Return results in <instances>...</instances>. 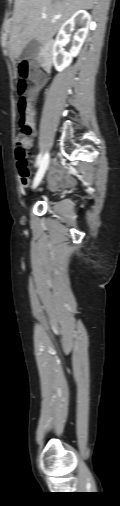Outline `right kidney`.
Instances as JSON below:
<instances>
[{
  "mask_svg": "<svg viewBox=\"0 0 120 506\" xmlns=\"http://www.w3.org/2000/svg\"><path fill=\"white\" fill-rule=\"evenodd\" d=\"M76 24L80 26V29L74 35L72 47L70 52L67 53L63 49L64 41L69 39L70 33L73 31ZM90 24L91 16L89 13L85 10H78L61 26L53 47V64L57 71H63L71 64L73 57L79 54L87 37Z\"/></svg>",
  "mask_w": 120,
  "mask_h": 506,
  "instance_id": "obj_1",
  "label": "right kidney"
}]
</instances>
